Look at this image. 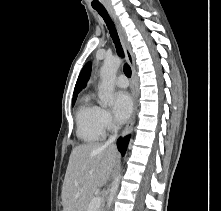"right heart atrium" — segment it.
Segmentation results:
<instances>
[{"instance_id":"right-heart-atrium-1","label":"right heart atrium","mask_w":221,"mask_h":211,"mask_svg":"<svg viewBox=\"0 0 221 211\" xmlns=\"http://www.w3.org/2000/svg\"><path fill=\"white\" fill-rule=\"evenodd\" d=\"M97 122L103 134L116 128V123L111 112L105 108L99 107Z\"/></svg>"}]
</instances>
